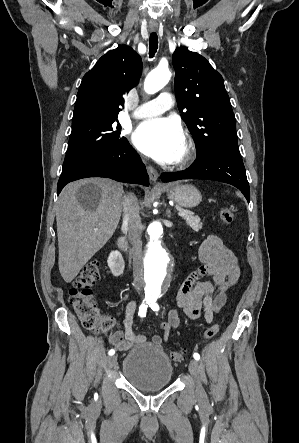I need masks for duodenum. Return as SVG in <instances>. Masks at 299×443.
<instances>
[{
  "mask_svg": "<svg viewBox=\"0 0 299 443\" xmlns=\"http://www.w3.org/2000/svg\"><path fill=\"white\" fill-rule=\"evenodd\" d=\"M118 247L124 252L129 251V245H128V242L124 236H121L118 238Z\"/></svg>",
  "mask_w": 299,
  "mask_h": 443,
  "instance_id": "1",
  "label": "duodenum"
}]
</instances>
